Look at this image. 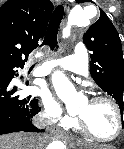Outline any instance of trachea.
Returning a JSON list of instances; mask_svg holds the SVG:
<instances>
[{"label": "trachea", "mask_w": 124, "mask_h": 149, "mask_svg": "<svg viewBox=\"0 0 124 149\" xmlns=\"http://www.w3.org/2000/svg\"><path fill=\"white\" fill-rule=\"evenodd\" d=\"M63 14L64 7L62 5H58L52 13V16L48 24L47 33L45 36V41L47 43H51L56 40L58 29L63 18Z\"/></svg>", "instance_id": "obj_1"}]
</instances>
